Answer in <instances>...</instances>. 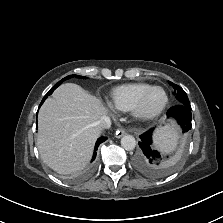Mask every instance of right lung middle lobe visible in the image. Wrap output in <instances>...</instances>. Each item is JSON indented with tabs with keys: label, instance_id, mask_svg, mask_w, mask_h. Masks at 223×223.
Here are the masks:
<instances>
[{
	"label": "right lung middle lobe",
	"instance_id": "1",
	"mask_svg": "<svg viewBox=\"0 0 223 223\" xmlns=\"http://www.w3.org/2000/svg\"><path fill=\"white\" fill-rule=\"evenodd\" d=\"M73 77H75V78H86L84 76H79V75H69V76L63 78L61 81H59L53 88H51L49 90V92L45 95V97L49 96L63 81H65L67 79H70V78H73Z\"/></svg>",
	"mask_w": 223,
	"mask_h": 223
}]
</instances>
